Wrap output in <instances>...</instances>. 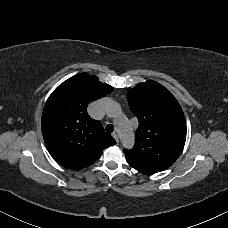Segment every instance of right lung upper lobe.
Returning <instances> with one entry per match:
<instances>
[{
  "label": "right lung upper lobe",
  "instance_id": "right-lung-upper-lobe-1",
  "mask_svg": "<svg viewBox=\"0 0 228 228\" xmlns=\"http://www.w3.org/2000/svg\"><path fill=\"white\" fill-rule=\"evenodd\" d=\"M113 91L88 73L60 84L49 96L41 128L51 156L63 167L79 170L93 164L105 148L115 145L99 121L87 114L90 102Z\"/></svg>",
  "mask_w": 228,
  "mask_h": 228
}]
</instances>
